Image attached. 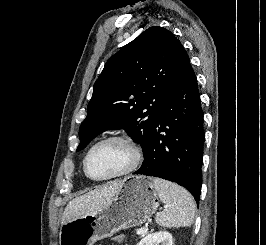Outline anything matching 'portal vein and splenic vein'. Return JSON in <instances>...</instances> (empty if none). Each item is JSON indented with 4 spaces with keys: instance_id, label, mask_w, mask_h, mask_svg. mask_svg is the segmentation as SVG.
Instances as JSON below:
<instances>
[{
    "instance_id": "1",
    "label": "portal vein and splenic vein",
    "mask_w": 266,
    "mask_h": 245,
    "mask_svg": "<svg viewBox=\"0 0 266 245\" xmlns=\"http://www.w3.org/2000/svg\"><path fill=\"white\" fill-rule=\"evenodd\" d=\"M148 229H139V231H136V235H144Z\"/></svg>"
}]
</instances>
